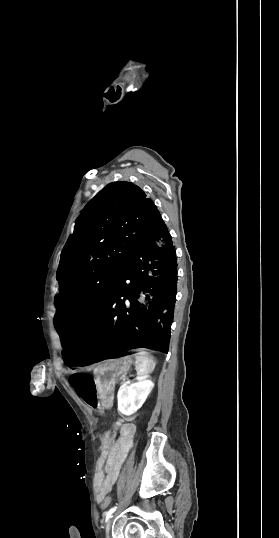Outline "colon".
Segmentation results:
<instances>
[{
    "mask_svg": "<svg viewBox=\"0 0 279 538\" xmlns=\"http://www.w3.org/2000/svg\"><path fill=\"white\" fill-rule=\"evenodd\" d=\"M114 439H115V433L112 432V431L106 432L102 437V441L104 443H107V444L112 443L114 441ZM99 474H100V467H99V464L97 462V475H99ZM110 503H111L110 498L105 497L102 500V507L107 508L110 505Z\"/></svg>",
    "mask_w": 279,
    "mask_h": 538,
    "instance_id": "5ec220e1",
    "label": "colon"
}]
</instances>
